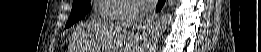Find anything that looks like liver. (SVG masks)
Masks as SVG:
<instances>
[{"label":"liver","mask_w":261,"mask_h":52,"mask_svg":"<svg viewBox=\"0 0 261 52\" xmlns=\"http://www.w3.org/2000/svg\"><path fill=\"white\" fill-rule=\"evenodd\" d=\"M80 34L83 36V48L86 52H110L107 51L110 50L107 46H110L114 37L118 39V47L121 50L119 52H132V42H128L125 46L126 33L122 32L118 24L99 20L87 24Z\"/></svg>","instance_id":"obj_1"}]
</instances>
